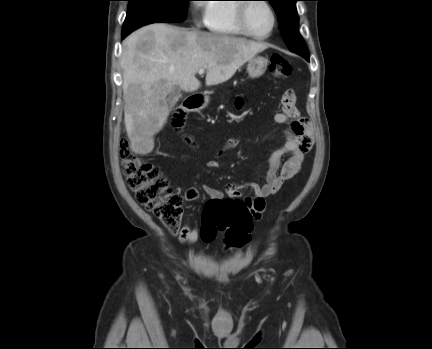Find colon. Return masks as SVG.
Segmentation results:
<instances>
[{
    "mask_svg": "<svg viewBox=\"0 0 432 349\" xmlns=\"http://www.w3.org/2000/svg\"><path fill=\"white\" fill-rule=\"evenodd\" d=\"M269 70L279 79L289 77L292 72L289 61L280 54L271 57ZM120 159L126 183L138 203L152 212L169 232L176 233L183 214L181 196L156 165L140 159L132 151L127 139L121 141ZM252 221L251 209L244 200H210L204 210L202 238L211 241L219 231L224 233L227 245L242 246L250 239Z\"/></svg>",
    "mask_w": 432,
    "mask_h": 349,
    "instance_id": "1",
    "label": "colon"
}]
</instances>
